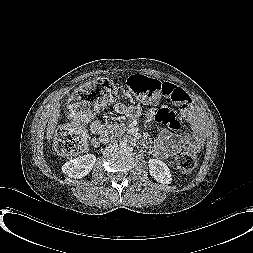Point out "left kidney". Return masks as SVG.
<instances>
[{"label":"left kidney","instance_id":"1","mask_svg":"<svg viewBox=\"0 0 253 253\" xmlns=\"http://www.w3.org/2000/svg\"><path fill=\"white\" fill-rule=\"evenodd\" d=\"M150 175L162 184H170L172 181L168 166L161 160L150 159L148 161Z\"/></svg>","mask_w":253,"mask_h":253}]
</instances>
